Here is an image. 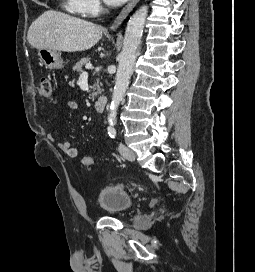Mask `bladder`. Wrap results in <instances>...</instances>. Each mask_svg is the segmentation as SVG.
Returning <instances> with one entry per match:
<instances>
[{"label": "bladder", "mask_w": 255, "mask_h": 272, "mask_svg": "<svg viewBox=\"0 0 255 272\" xmlns=\"http://www.w3.org/2000/svg\"><path fill=\"white\" fill-rule=\"evenodd\" d=\"M97 204L105 213L120 215L131 207L132 198L124 188L108 185L98 191Z\"/></svg>", "instance_id": "1"}]
</instances>
